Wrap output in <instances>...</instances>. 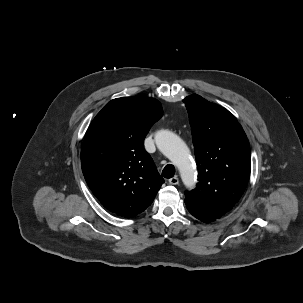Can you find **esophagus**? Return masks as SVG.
I'll return each instance as SVG.
<instances>
[{
	"mask_svg": "<svg viewBox=\"0 0 303 303\" xmlns=\"http://www.w3.org/2000/svg\"><path fill=\"white\" fill-rule=\"evenodd\" d=\"M168 181L172 185H178L179 184V179H178L177 176L170 178Z\"/></svg>",
	"mask_w": 303,
	"mask_h": 303,
	"instance_id": "esophagus-1",
	"label": "esophagus"
}]
</instances>
